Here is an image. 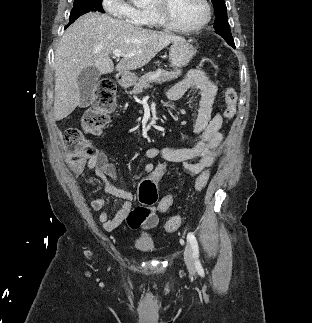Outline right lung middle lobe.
Masks as SVG:
<instances>
[{
  "instance_id": "right-lung-middle-lobe-1",
  "label": "right lung middle lobe",
  "mask_w": 312,
  "mask_h": 323,
  "mask_svg": "<svg viewBox=\"0 0 312 323\" xmlns=\"http://www.w3.org/2000/svg\"><path fill=\"white\" fill-rule=\"evenodd\" d=\"M101 1L102 0H74V7L70 13L68 26L78 17L90 11L104 13Z\"/></svg>"
}]
</instances>
